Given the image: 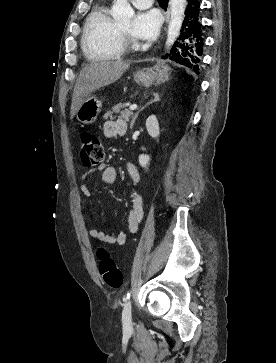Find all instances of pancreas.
<instances>
[{"instance_id":"pancreas-1","label":"pancreas","mask_w":276,"mask_h":363,"mask_svg":"<svg viewBox=\"0 0 276 363\" xmlns=\"http://www.w3.org/2000/svg\"><path fill=\"white\" fill-rule=\"evenodd\" d=\"M128 106V104H122V103H118L115 106L112 107L111 111H108L104 117L108 118V117H113V114H119V118L124 119L125 121H129V118L133 116V112L128 110L126 107Z\"/></svg>"}]
</instances>
